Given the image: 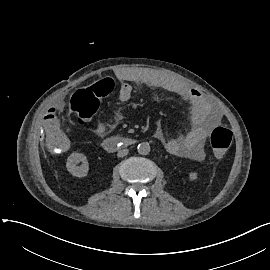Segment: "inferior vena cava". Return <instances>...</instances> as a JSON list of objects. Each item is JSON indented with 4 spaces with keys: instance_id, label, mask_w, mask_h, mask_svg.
I'll return each instance as SVG.
<instances>
[{
    "instance_id": "inferior-vena-cava-1",
    "label": "inferior vena cava",
    "mask_w": 270,
    "mask_h": 270,
    "mask_svg": "<svg viewBox=\"0 0 270 270\" xmlns=\"http://www.w3.org/2000/svg\"><path fill=\"white\" fill-rule=\"evenodd\" d=\"M128 152H129L128 149H122V150L118 151L117 156L118 157H124V156H126L128 154Z\"/></svg>"
}]
</instances>
